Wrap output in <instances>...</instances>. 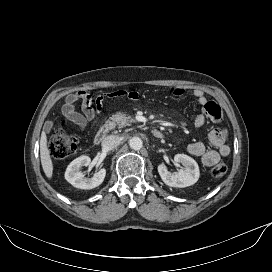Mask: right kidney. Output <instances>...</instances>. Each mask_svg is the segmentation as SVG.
I'll return each instance as SVG.
<instances>
[{
  "label": "right kidney",
  "mask_w": 272,
  "mask_h": 272,
  "mask_svg": "<svg viewBox=\"0 0 272 272\" xmlns=\"http://www.w3.org/2000/svg\"><path fill=\"white\" fill-rule=\"evenodd\" d=\"M91 162L90 157L80 156L74 159L67 167L65 172V179L74 187L80 189H93L98 187L104 181L106 169L102 168L91 178H86L80 171L82 166H88Z\"/></svg>",
  "instance_id": "right-kidney-1"
}]
</instances>
